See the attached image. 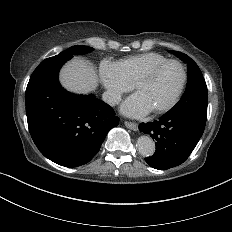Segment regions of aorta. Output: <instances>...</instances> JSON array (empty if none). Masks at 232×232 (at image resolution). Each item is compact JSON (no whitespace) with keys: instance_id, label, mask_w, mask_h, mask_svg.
I'll return each instance as SVG.
<instances>
[{"instance_id":"obj_1","label":"aorta","mask_w":232,"mask_h":232,"mask_svg":"<svg viewBox=\"0 0 232 232\" xmlns=\"http://www.w3.org/2000/svg\"><path fill=\"white\" fill-rule=\"evenodd\" d=\"M138 152L144 157H150L155 152V143L151 137L143 135L137 140Z\"/></svg>"}]
</instances>
